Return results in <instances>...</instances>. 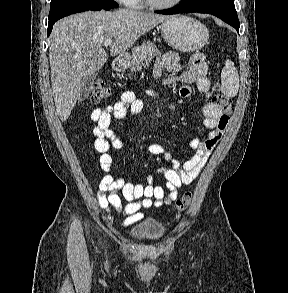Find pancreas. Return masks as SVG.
Wrapping results in <instances>:
<instances>
[{"label": "pancreas", "instance_id": "obj_1", "mask_svg": "<svg viewBox=\"0 0 288 293\" xmlns=\"http://www.w3.org/2000/svg\"><path fill=\"white\" fill-rule=\"evenodd\" d=\"M161 52L157 49L154 43L148 41L140 46L134 47L132 58L129 61V68L132 72L140 71L144 62L147 64L155 56H160Z\"/></svg>", "mask_w": 288, "mask_h": 293}]
</instances>
